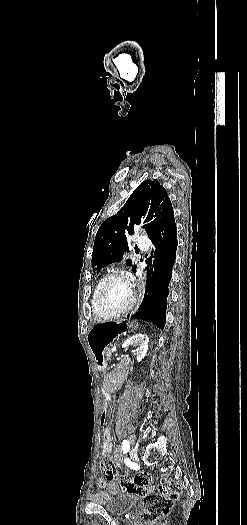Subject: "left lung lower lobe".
<instances>
[{"mask_svg":"<svg viewBox=\"0 0 247 525\" xmlns=\"http://www.w3.org/2000/svg\"><path fill=\"white\" fill-rule=\"evenodd\" d=\"M149 238L156 247L154 269L147 275L142 304L131 318L152 322L163 329L166 321L168 285L178 245L174 213L166 218Z\"/></svg>","mask_w":247,"mask_h":525,"instance_id":"0a47b994","label":"left lung lower lobe"}]
</instances>
